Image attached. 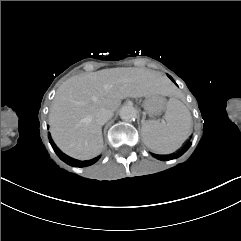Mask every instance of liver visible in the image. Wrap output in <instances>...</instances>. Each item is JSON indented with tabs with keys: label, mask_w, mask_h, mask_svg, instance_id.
Returning a JSON list of instances; mask_svg holds the SVG:
<instances>
[{
	"label": "liver",
	"mask_w": 241,
	"mask_h": 241,
	"mask_svg": "<svg viewBox=\"0 0 241 241\" xmlns=\"http://www.w3.org/2000/svg\"><path fill=\"white\" fill-rule=\"evenodd\" d=\"M169 81L160 72L116 68L75 75L57 89L49 113L50 133L57 147L73 158L89 160L103 149L96 115L112 112L127 97L167 95Z\"/></svg>",
	"instance_id": "1"
}]
</instances>
